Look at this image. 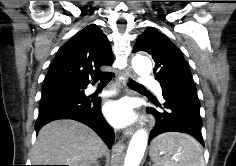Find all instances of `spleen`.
I'll use <instances>...</instances> for the list:
<instances>
[{
	"instance_id": "1",
	"label": "spleen",
	"mask_w": 236,
	"mask_h": 166,
	"mask_svg": "<svg viewBox=\"0 0 236 166\" xmlns=\"http://www.w3.org/2000/svg\"><path fill=\"white\" fill-rule=\"evenodd\" d=\"M151 145L156 166H205L199 143L189 135L164 133Z\"/></svg>"
}]
</instances>
